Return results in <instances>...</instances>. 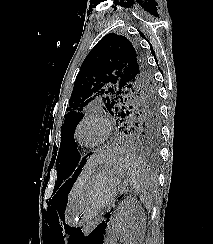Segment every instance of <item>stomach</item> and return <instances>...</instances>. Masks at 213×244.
Listing matches in <instances>:
<instances>
[{
	"instance_id": "0dacf381",
	"label": "stomach",
	"mask_w": 213,
	"mask_h": 244,
	"mask_svg": "<svg viewBox=\"0 0 213 244\" xmlns=\"http://www.w3.org/2000/svg\"><path fill=\"white\" fill-rule=\"evenodd\" d=\"M125 173L117 172L113 152L99 164L76 190L75 197L64 214V222L79 226L90 222L119 194Z\"/></svg>"
}]
</instances>
